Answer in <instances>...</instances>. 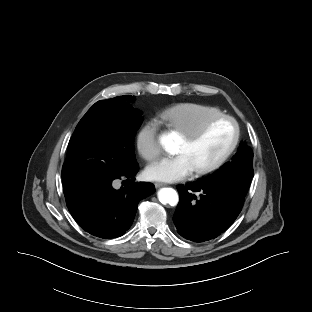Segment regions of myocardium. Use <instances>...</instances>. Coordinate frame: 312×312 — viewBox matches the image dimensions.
<instances>
[{
    "instance_id": "myocardium-1",
    "label": "myocardium",
    "mask_w": 312,
    "mask_h": 312,
    "mask_svg": "<svg viewBox=\"0 0 312 312\" xmlns=\"http://www.w3.org/2000/svg\"><path fill=\"white\" fill-rule=\"evenodd\" d=\"M222 120L230 121L234 125V128H235L234 139H233L231 145L229 146V148L217 160H215L214 162H212L209 165L195 169L194 172L197 175H204V174L210 173V172L218 169L220 166H222L230 158V156L233 154V152L237 148L238 143L240 141V137H241L240 125H239L238 121L233 116H230L227 114H220V115L214 116V117L206 120L196 130L191 131V132L186 133V134H183V137L186 139L187 142L193 143V142L197 141L199 138H201L213 124H215L216 122L222 121Z\"/></svg>"
}]
</instances>
